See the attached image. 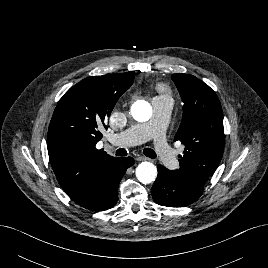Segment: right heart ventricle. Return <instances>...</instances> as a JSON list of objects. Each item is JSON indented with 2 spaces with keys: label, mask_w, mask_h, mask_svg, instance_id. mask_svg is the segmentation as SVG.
Masks as SVG:
<instances>
[{
  "label": "right heart ventricle",
  "mask_w": 268,
  "mask_h": 268,
  "mask_svg": "<svg viewBox=\"0 0 268 268\" xmlns=\"http://www.w3.org/2000/svg\"><path fill=\"white\" fill-rule=\"evenodd\" d=\"M158 89H159V91L162 92V93L168 92V88L165 87V86H163V85H160V86L158 87Z\"/></svg>",
  "instance_id": "right-heart-ventricle-1"
}]
</instances>
